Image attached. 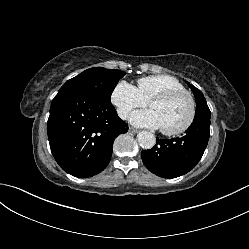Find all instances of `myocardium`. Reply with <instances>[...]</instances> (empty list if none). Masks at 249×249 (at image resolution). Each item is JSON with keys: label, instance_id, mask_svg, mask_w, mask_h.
I'll return each instance as SVG.
<instances>
[{"label": "myocardium", "instance_id": "obj_1", "mask_svg": "<svg viewBox=\"0 0 249 249\" xmlns=\"http://www.w3.org/2000/svg\"><path fill=\"white\" fill-rule=\"evenodd\" d=\"M178 97H186L188 99L189 105H190L189 116L186 122L177 129L168 130V129L161 128V132L167 136H176V135L183 134L192 126L195 120L196 111H197L196 101L193 95L187 90H172V91H168V92L156 95L149 101V107H151L152 104L154 103L168 102Z\"/></svg>", "mask_w": 249, "mask_h": 249}]
</instances>
